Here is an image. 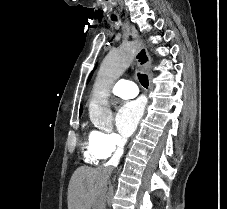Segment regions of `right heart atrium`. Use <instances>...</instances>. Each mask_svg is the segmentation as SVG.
<instances>
[{
  "mask_svg": "<svg viewBox=\"0 0 227 209\" xmlns=\"http://www.w3.org/2000/svg\"><path fill=\"white\" fill-rule=\"evenodd\" d=\"M92 137L107 157L119 154L125 145V139L114 132L94 131Z\"/></svg>",
  "mask_w": 227,
  "mask_h": 209,
  "instance_id": "obj_1",
  "label": "right heart atrium"
}]
</instances>
